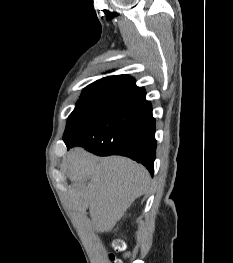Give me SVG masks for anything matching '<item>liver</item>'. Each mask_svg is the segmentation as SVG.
Here are the masks:
<instances>
[{
  "label": "liver",
  "instance_id": "liver-1",
  "mask_svg": "<svg viewBox=\"0 0 233 263\" xmlns=\"http://www.w3.org/2000/svg\"><path fill=\"white\" fill-rule=\"evenodd\" d=\"M73 208L89 214L98 232H109L134 200L149 190L145 167L121 156L95 157L77 147L67 155ZM90 179L88 184L85 181Z\"/></svg>",
  "mask_w": 233,
  "mask_h": 263
}]
</instances>
